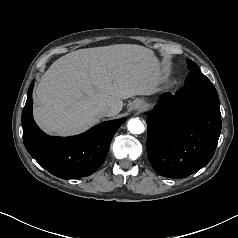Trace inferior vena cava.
<instances>
[{"label":"inferior vena cava","instance_id":"inferior-vena-cava-1","mask_svg":"<svg viewBox=\"0 0 238 238\" xmlns=\"http://www.w3.org/2000/svg\"><path fill=\"white\" fill-rule=\"evenodd\" d=\"M115 111L113 108H110V107H102L99 109V114L102 116V117H110L112 115H114Z\"/></svg>","mask_w":238,"mask_h":238}]
</instances>
